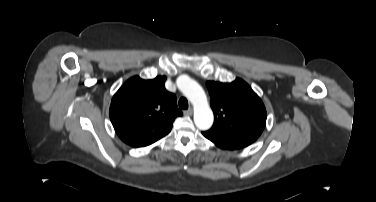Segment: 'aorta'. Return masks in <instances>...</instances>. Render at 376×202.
<instances>
[{
  "instance_id": "obj_1",
  "label": "aorta",
  "mask_w": 376,
  "mask_h": 202,
  "mask_svg": "<svg viewBox=\"0 0 376 202\" xmlns=\"http://www.w3.org/2000/svg\"><path fill=\"white\" fill-rule=\"evenodd\" d=\"M176 84L179 90L194 106V123L196 127L200 130H208L211 128L214 116L202 87L195 80L186 75L178 77Z\"/></svg>"
}]
</instances>
